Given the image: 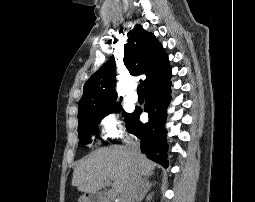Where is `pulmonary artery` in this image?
Here are the masks:
<instances>
[{
  "label": "pulmonary artery",
  "mask_w": 255,
  "mask_h": 202,
  "mask_svg": "<svg viewBox=\"0 0 255 202\" xmlns=\"http://www.w3.org/2000/svg\"><path fill=\"white\" fill-rule=\"evenodd\" d=\"M127 98L130 102L135 103L138 101V95L134 90H131L128 95Z\"/></svg>",
  "instance_id": "obj_1"
}]
</instances>
